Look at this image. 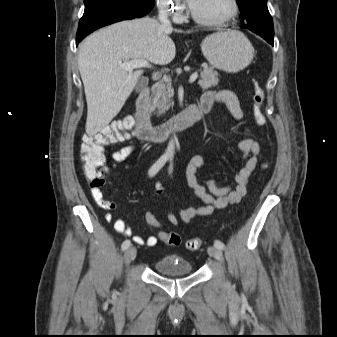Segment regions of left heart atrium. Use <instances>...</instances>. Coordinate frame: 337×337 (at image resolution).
Returning <instances> with one entry per match:
<instances>
[{
  "instance_id": "obj_1",
  "label": "left heart atrium",
  "mask_w": 337,
  "mask_h": 337,
  "mask_svg": "<svg viewBox=\"0 0 337 337\" xmlns=\"http://www.w3.org/2000/svg\"><path fill=\"white\" fill-rule=\"evenodd\" d=\"M187 1L190 4V6L192 7L196 3L197 0H187Z\"/></svg>"
}]
</instances>
